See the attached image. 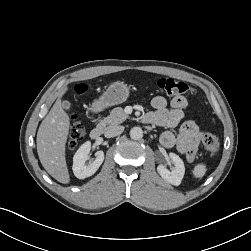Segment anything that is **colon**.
<instances>
[{"mask_svg": "<svg viewBox=\"0 0 251 251\" xmlns=\"http://www.w3.org/2000/svg\"><path fill=\"white\" fill-rule=\"evenodd\" d=\"M156 87L167 95L175 97L181 95H193L195 93L194 88L186 82L166 77L159 78L156 81ZM82 91V87L76 88V93H81ZM84 134L85 129L83 124L79 121H74L69 130L68 148H76L79 142L83 139ZM201 142L203 149L210 157H213L217 153L220 142L216 135L205 132L201 136Z\"/></svg>", "mask_w": 251, "mask_h": 251, "instance_id": "5ec220e1", "label": "colon"}]
</instances>
